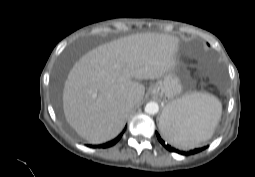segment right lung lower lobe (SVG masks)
Here are the masks:
<instances>
[{
    "label": "right lung lower lobe",
    "instance_id": "1",
    "mask_svg": "<svg viewBox=\"0 0 255 177\" xmlns=\"http://www.w3.org/2000/svg\"><path fill=\"white\" fill-rule=\"evenodd\" d=\"M123 132H124V131H123ZM123 132H122L120 135H118L115 139H113L112 141H109V142H107V143H105V144H102V145L90 146V147H99V148L111 147V146H113L114 144H116V143L120 140V138H121L122 135H123Z\"/></svg>",
    "mask_w": 255,
    "mask_h": 177
}]
</instances>
